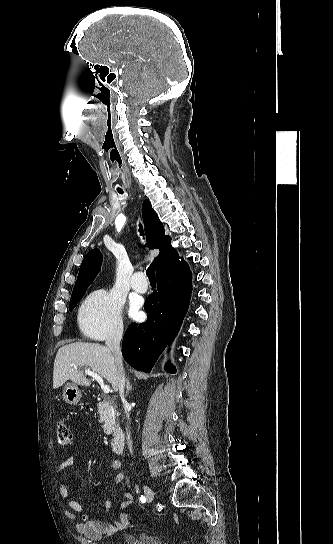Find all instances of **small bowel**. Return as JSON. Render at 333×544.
<instances>
[{
	"label": "small bowel",
	"mask_w": 333,
	"mask_h": 544,
	"mask_svg": "<svg viewBox=\"0 0 333 544\" xmlns=\"http://www.w3.org/2000/svg\"><path fill=\"white\" fill-rule=\"evenodd\" d=\"M74 460L71 456L64 459L58 467L59 478V493L60 496L68 508L66 510V517L75 523V528L80 533L92 540H99L104 536H113L123 529H125L129 523L127 511L132 503L133 495L130 492L124 493V501L119 505V509L123 512L114 515L110 522H103L94 518L92 515L85 513L81 504L70 498L69 490L65 484L66 471L73 464ZM112 468L116 471L114 481L109 488V491H113L117 485H119L124 479V473L122 471V463L119 460L112 461ZM110 499L105 500V513H109L111 509Z\"/></svg>",
	"instance_id": "small-bowel-1"
}]
</instances>
